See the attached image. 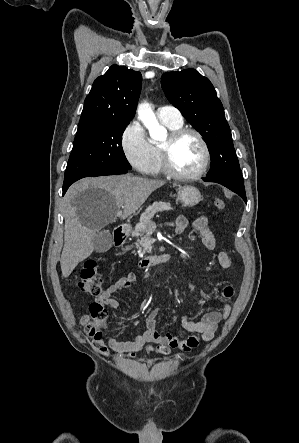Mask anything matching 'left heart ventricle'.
<instances>
[{
  "label": "left heart ventricle",
  "instance_id": "1",
  "mask_svg": "<svg viewBox=\"0 0 299 443\" xmlns=\"http://www.w3.org/2000/svg\"><path fill=\"white\" fill-rule=\"evenodd\" d=\"M171 161L180 173L196 172L203 161V150L197 138L192 134L183 136L172 150Z\"/></svg>",
  "mask_w": 299,
  "mask_h": 443
}]
</instances>
